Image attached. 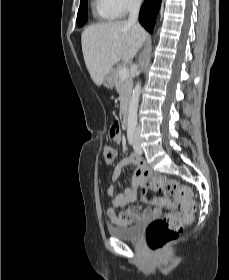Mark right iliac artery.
<instances>
[{"label":"right iliac artery","instance_id":"1","mask_svg":"<svg viewBox=\"0 0 229 280\" xmlns=\"http://www.w3.org/2000/svg\"><path fill=\"white\" fill-rule=\"evenodd\" d=\"M127 138L130 145L134 144V130L129 129L127 131Z\"/></svg>","mask_w":229,"mask_h":280}]
</instances>
